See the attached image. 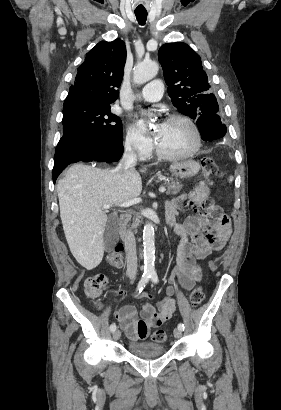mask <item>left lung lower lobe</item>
<instances>
[{
    "instance_id": "1",
    "label": "left lung lower lobe",
    "mask_w": 281,
    "mask_h": 410,
    "mask_svg": "<svg viewBox=\"0 0 281 410\" xmlns=\"http://www.w3.org/2000/svg\"><path fill=\"white\" fill-rule=\"evenodd\" d=\"M197 126L204 141H213L223 137L226 133V126L222 124L220 116L217 114H202L197 119Z\"/></svg>"
}]
</instances>
